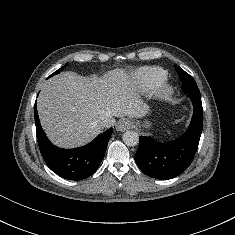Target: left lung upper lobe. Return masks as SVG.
<instances>
[{
    "label": "left lung upper lobe",
    "mask_w": 235,
    "mask_h": 235,
    "mask_svg": "<svg viewBox=\"0 0 235 235\" xmlns=\"http://www.w3.org/2000/svg\"><path fill=\"white\" fill-rule=\"evenodd\" d=\"M175 69L177 70L182 83L184 81L189 82L191 84L190 86L192 87L193 91L199 94L200 92H199V89L197 87L195 80L188 73H186L184 70H182L180 67L175 66Z\"/></svg>",
    "instance_id": "5c2ea615"
}]
</instances>
